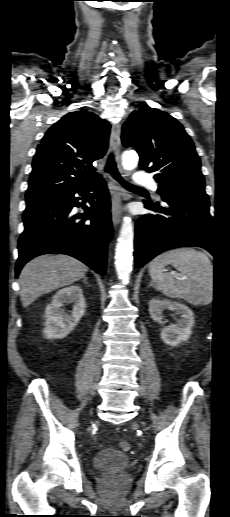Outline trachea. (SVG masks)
<instances>
[{
	"label": "trachea",
	"instance_id": "1",
	"mask_svg": "<svg viewBox=\"0 0 230 517\" xmlns=\"http://www.w3.org/2000/svg\"><path fill=\"white\" fill-rule=\"evenodd\" d=\"M105 171L109 172L119 183H121L125 188L128 189H134V188H141L135 185H132L128 182H126L118 173L116 168V163L114 161L113 154H110L108 157L107 164L105 166Z\"/></svg>",
	"mask_w": 230,
	"mask_h": 517
}]
</instances>
